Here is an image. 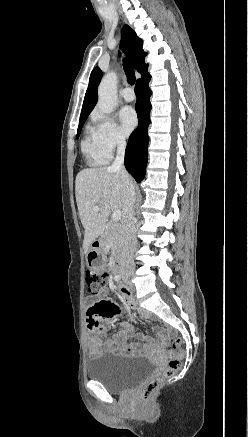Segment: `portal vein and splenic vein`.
Instances as JSON below:
<instances>
[{
    "label": "portal vein and splenic vein",
    "mask_w": 248,
    "mask_h": 437,
    "mask_svg": "<svg viewBox=\"0 0 248 437\" xmlns=\"http://www.w3.org/2000/svg\"><path fill=\"white\" fill-rule=\"evenodd\" d=\"M100 210V207L99 206H96V207H94V211H99ZM121 211L120 210H114L113 211V214H112V220L114 221V222H118L119 220H121Z\"/></svg>",
    "instance_id": "18ae733b"
}]
</instances>
